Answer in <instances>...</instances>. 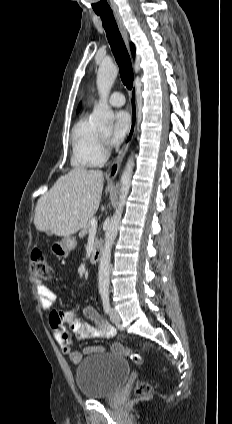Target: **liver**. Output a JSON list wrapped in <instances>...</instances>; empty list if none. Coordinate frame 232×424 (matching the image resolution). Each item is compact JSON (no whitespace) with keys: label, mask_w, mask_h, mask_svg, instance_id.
<instances>
[{"label":"liver","mask_w":232,"mask_h":424,"mask_svg":"<svg viewBox=\"0 0 232 424\" xmlns=\"http://www.w3.org/2000/svg\"><path fill=\"white\" fill-rule=\"evenodd\" d=\"M104 177L100 170L77 167L61 176L37 202L34 224L39 231L70 236L96 213ZM110 186L106 188L108 193Z\"/></svg>","instance_id":"1"}]
</instances>
